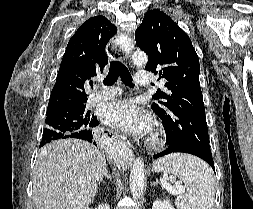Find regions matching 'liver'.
Wrapping results in <instances>:
<instances>
[{
  "mask_svg": "<svg viewBox=\"0 0 253 209\" xmlns=\"http://www.w3.org/2000/svg\"><path fill=\"white\" fill-rule=\"evenodd\" d=\"M106 168L104 154L89 142L61 139L47 144L34 168V209H88Z\"/></svg>",
  "mask_w": 253,
  "mask_h": 209,
  "instance_id": "1",
  "label": "liver"
}]
</instances>
